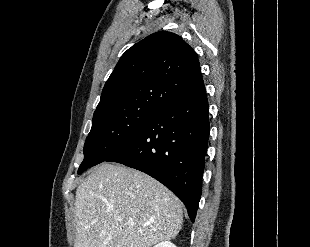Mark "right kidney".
<instances>
[{
    "label": "right kidney",
    "mask_w": 310,
    "mask_h": 247,
    "mask_svg": "<svg viewBox=\"0 0 310 247\" xmlns=\"http://www.w3.org/2000/svg\"><path fill=\"white\" fill-rule=\"evenodd\" d=\"M154 247H176V245L170 241L165 240V241L159 242Z\"/></svg>",
    "instance_id": "obj_1"
}]
</instances>
